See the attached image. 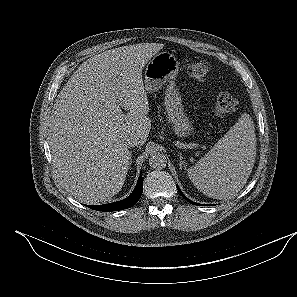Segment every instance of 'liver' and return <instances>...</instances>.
<instances>
[{
  "instance_id": "obj_1",
  "label": "liver",
  "mask_w": 297,
  "mask_h": 297,
  "mask_svg": "<svg viewBox=\"0 0 297 297\" xmlns=\"http://www.w3.org/2000/svg\"><path fill=\"white\" fill-rule=\"evenodd\" d=\"M163 46L95 55L58 94L49 121L52 162L60 184L81 203H103L121 191L130 161L125 140L135 134L143 145L151 129L142 69Z\"/></svg>"
}]
</instances>
